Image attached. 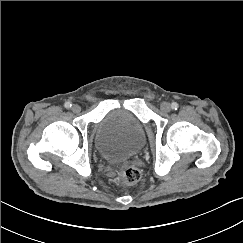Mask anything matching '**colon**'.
Returning <instances> with one entry per match:
<instances>
[{"instance_id":"obj_1","label":"colon","mask_w":243,"mask_h":243,"mask_svg":"<svg viewBox=\"0 0 243 243\" xmlns=\"http://www.w3.org/2000/svg\"><path fill=\"white\" fill-rule=\"evenodd\" d=\"M139 170L130 165L121 166L117 170V178L127 185L136 184L140 180Z\"/></svg>"}]
</instances>
